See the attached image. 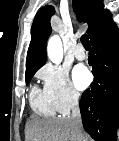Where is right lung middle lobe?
<instances>
[{
	"label": "right lung middle lobe",
	"instance_id": "obj_1",
	"mask_svg": "<svg viewBox=\"0 0 119 141\" xmlns=\"http://www.w3.org/2000/svg\"><path fill=\"white\" fill-rule=\"evenodd\" d=\"M34 74H35V72L25 74L26 84H28L30 82V80H31V78L33 77Z\"/></svg>",
	"mask_w": 119,
	"mask_h": 141
}]
</instances>
